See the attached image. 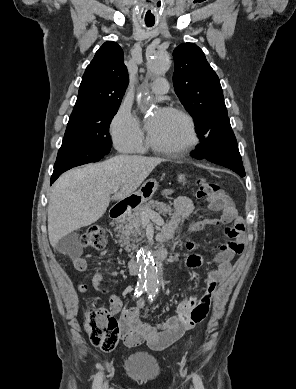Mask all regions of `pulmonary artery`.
<instances>
[{
    "label": "pulmonary artery",
    "instance_id": "pulmonary-artery-1",
    "mask_svg": "<svg viewBox=\"0 0 296 389\" xmlns=\"http://www.w3.org/2000/svg\"><path fill=\"white\" fill-rule=\"evenodd\" d=\"M150 89L155 94H165L169 89V85L165 78H157L151 84Z\"/></svg>",
    "mask_w": 296,
    "mask_h": 389
}]
</instances>
